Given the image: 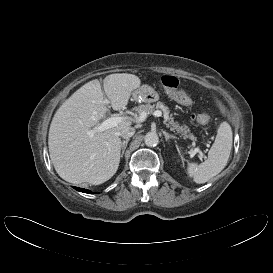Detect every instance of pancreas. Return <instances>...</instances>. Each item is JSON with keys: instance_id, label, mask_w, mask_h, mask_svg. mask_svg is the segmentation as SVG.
Returning <instances> with one entry per match:
<instances>
[{"instance_id": "pancreas-1", "label": "pancreas", "mask_w": 273, "mask_h": 273, "mask_svg": "<svg viewBox=\"0 0 273 273\" xmlns=\"http://www.w3.org/2000/svg\"><path fill=\"white\" fill-rule=\"evenodd\" d=\"M155 109H161L163 111L164 124L166 127L170 128L171 131L183 136L184 138H189L191 140L196 139L194 135L189 132L186 126H180L178 122L174 121L173 115L170 114L168 107H166L162 102L159 101L153 105L150 103L141 104L135 108L138 113H146V115L152 114Z\"/></svg>"}]
</instances>
